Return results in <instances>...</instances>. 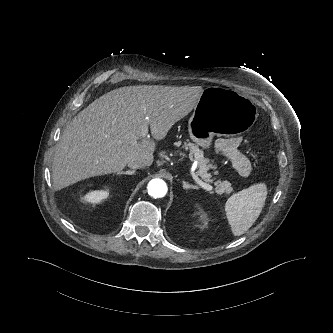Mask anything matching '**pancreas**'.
Listing matches in <instances>:
<instances>
[{
    "instance_id": "cf45deb5",
    "label": "pancreas",
    "mask_w": 333,
    "mask_h": 333,
    "mask_svg": "<svg viewBox=\"0 0 333 333\" xmlns=\"http://www.w3.org/2000/svg\"><path fill=\"white\" fill-rule=\"evenodd\" d=\"M184 146L190 149V157L194 158L198 163L197 175H199L205 182H211V174L208 173V170L211 167V165H208L209 159L204 157L203 152L198 148V146L192 143H186ZM215 191L218 194H229L232 191L230 182L219 181Z\"/></svg>"
}]
</instances>
